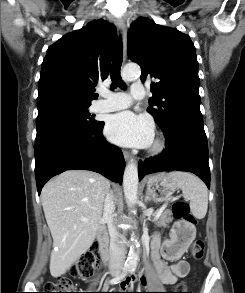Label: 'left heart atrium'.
I'll list each match as a JSON object with an SVG mask.
<instances>
[{"instance_id":"left-heart-atrium-1","label":"left heart atrium","mask_w":245,"mask_h":293,"mask_svg":"<svg viewBox=\"0 0 245 293\" xmlns=\"http://www.w3.org/2000/svg\"><path fill=\"white\" fill-rule=\"evenodd\" d=\"M105 134L116 144L142 148L152 143L154 126L148 117L124 111L107 119Z\"/></svg>"}]
</instances>
